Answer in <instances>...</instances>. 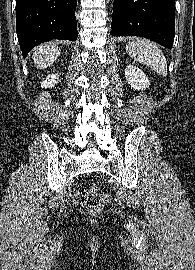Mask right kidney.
Returning a JSON list of instances; mask_svg holds the SVG:
<instances>
[{"mask_svg":"<svg viewBox=\"0 0 195 270\" xmlns=\"http://www.w3.org/2000/svg\"><path fill=\"white\" fill-rule=\"evenodd\" d=\"M59 79V75L58 74H51L48 75L45 80H43L41 82V88H51L53 87L57 81Z\"/></svg>","mask_w":195,"mask_h":270,"instance_id":"ca27d5eb","label":"right kidney"}]
</instances>
